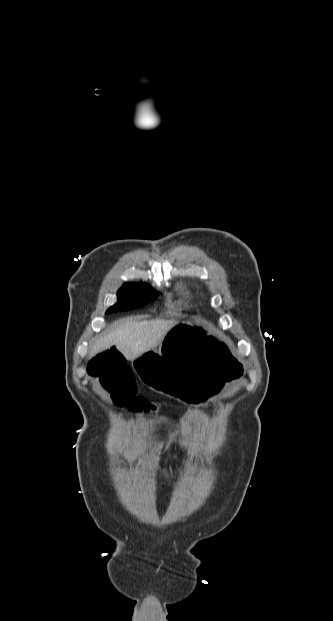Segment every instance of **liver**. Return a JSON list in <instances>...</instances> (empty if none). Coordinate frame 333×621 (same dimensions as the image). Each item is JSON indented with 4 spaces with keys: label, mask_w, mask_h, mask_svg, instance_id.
I'll use <instances>...</instances> for the list:
<instances>
[{
    "label": "liver",
    "mask_w": 333,
    "mask_h": 621,
    "mask_svg": "<svg viewBox=\"0 0 333 621\" xmlns=\"http://www.w3.org/2000/svg\"><path fill=\"white\" fill-rule=\"evenodd\" d=\"M175 325L174 320L137 322L125 318L95 340L90 358L114 345L127 360H135L143 353L156 348Z\"/></svg>",
    "instance_id": "1"
}]
</instances>
